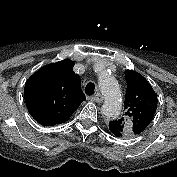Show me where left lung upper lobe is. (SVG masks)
<instances>
[{"label":"left lung upper lobe","mask_w":177,"mask_h":177,"mask_svg":"<svg viewBox=\"0 0 177 177\" xmlns=\"http://www.w3.org/2000/svg\"><path fill=\"white\" fill-rule=\"evenodd\" d=\"M125 78V115L111 121L109 126L118 130L121 137H135L141 135L153 120L158 99L150 83L139 73L127 70Z\"/></svg>","instance_id":"1"}]
</instances>
